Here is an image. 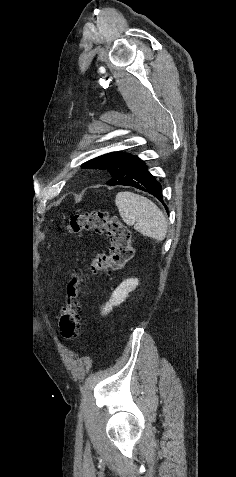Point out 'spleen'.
<instances>
[{"label": "spleen", "mask_w": 236, "mask_h": 477, "mask_svg": "<svg viewBox=\"0 0 236 477\" xmlns=\"http://www.w3.org/2000/svg\"><path fill=\"white\" fill-rule=\"evenodd\" d=\"M115 204L127 225L134 226L144 236L164 240L167 221L162 211L148 198L132 192H119Z\"/></svg>", "instance_id": "obj_1"}]
</instances>
